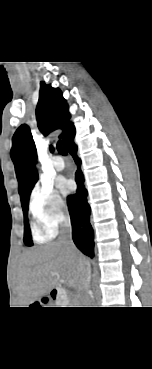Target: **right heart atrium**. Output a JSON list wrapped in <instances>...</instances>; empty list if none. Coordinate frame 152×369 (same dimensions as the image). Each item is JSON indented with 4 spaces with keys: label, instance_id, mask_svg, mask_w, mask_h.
<instances>
[{
    "label": "right heart atrium",
    "instance_id": "d8ad5b80",
    "mask_svg": "<svg viewBox=\"0 0 152 369\" xmlns=\"http://www.w3.org/2000/svg\"><path fill=\"white\" fill-rule=\"evenodd\" d=\"M29 211L41 236L54 235L68 218L64 198L52 186L40 183L34 186L29 198Z\"/></svg>",
    "mask_w": 152,
    "mask_h": 369
}]
</instances>
